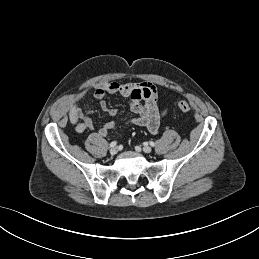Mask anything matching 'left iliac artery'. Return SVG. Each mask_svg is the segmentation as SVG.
<instances>
[{"instance_id":"1","label":"left iliac artery","mask_w":259,"mask_h":259,"mask_svg":"<svg viewBox=\"0 0 259 259\" xmlns=\"http://www.w3.org/2000/svg\"><path fill=\"white\" fill-rule=\"evenodd\" d=\"M150 145H151V146H154L155 143H154L153 141H150Z\"/></svg>"}]
</instances>
